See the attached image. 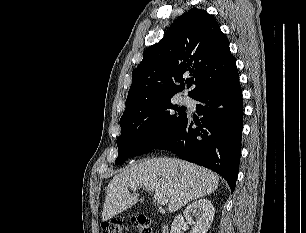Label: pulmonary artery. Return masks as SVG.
<instances>
[{
    "mask_svg": "<svg viewBox=\"0 0 306 233\" xmlns=\"http://www.w3.org/2000/svg\"><path fill=\"white\" fill-rule=\"evenodd\" d=\"M181 100L186 105H191L192 104L191 98L188 97L187 95L182 96Z\"/></svg>",
    "mask_w": 306,
    "mask_h": 233,
    "instance_id": "e3ab8cb5",
    "label": "pulmonary artery"
}]
</instances>
